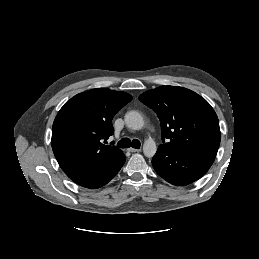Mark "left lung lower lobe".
<instances>
[{
    "label": "left lung lower lobe",
    "mask_w": 259,
    "mask_h": 259,
    "mask_svg": "<svg viewBox=\"0 0 259 259\" xmlns=\"http://www.w3.org/2000/svg\"><path fill=\"white\" fill-rule=\"evenodd\" d=\"M215 157L185 155L159 146L152 159L154 170L171 184L184 186L201 178L211 167Z\"/></svg>",
    "instance_id": "obj_1"
}]
</instances>
